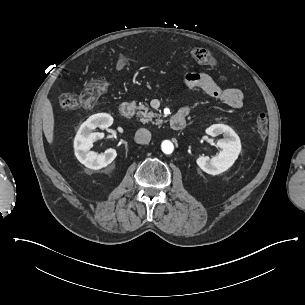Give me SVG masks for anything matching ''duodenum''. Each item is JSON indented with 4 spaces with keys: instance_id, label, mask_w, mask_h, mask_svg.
<instances>
[{
    "instance_id": "1",
    "label": "duodenum",
    "mask_w": 305,
    "mask_h": 305,
    "mask_svg": "<svg viewBox=\"0 0 305 305\" xmlns=\"http://www.w3.org/2000/svg\"><path fill=\"white\" fill-rule=\"evenodd\" d=\"M136 111V106L132 102H124L120 106V114L123 118H131ZM186 114L178 112L170 118V125L175 130H180L185 126Z\"/></svg>"
}]
</instances>
